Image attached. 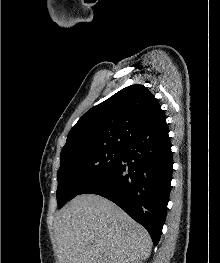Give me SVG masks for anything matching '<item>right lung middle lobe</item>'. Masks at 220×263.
I'll return each instance as SVG.
<instances>
[{"label":"right lung middle lobe","instance_id":"right-lung-middle-lobe-1","mask_svg":"<svg viewBox=\"0 0 220 263\" xmlns=\"http://www.w3.org/2000/svg\"><path fill=\"white\" fill-rule=\"evenodd\" d=\"M123 151L121 148H96L60 155L61 165L57 173L58 208L79 195L86 186L116 164Z\"/></svg>","mask_w":220,"mask_h":263}]
</instances>
